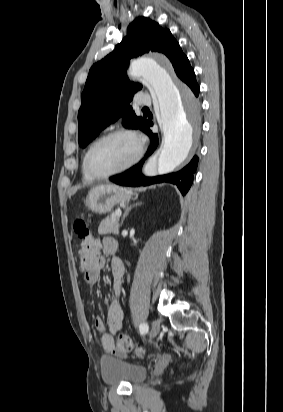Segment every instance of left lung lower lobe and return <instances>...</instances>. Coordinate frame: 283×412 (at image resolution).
<instances>
[{"label":"left lung lower lobe","mask_w":283,"mask_h":412,"mask_svg":"<svg viewBox=\"0 0 283 412\" xmlns=\"http://www.w3.org/2000/svg\"><path fill=\"white\" fill-rule=\"evenodd\" d=\"M182 81L190 87L195 96H198L199 86L196 82L194 71H191ZM152 125V122L148 121L147 126L143 129V131L151 138L150 148L143 160L124 173L112 176L109 179L110 181L123 186H148L156 183H172L178 187L182 195H185L192 185L193 173L197 168L198 158L196 156L187 166L175 173L156 177H144L141 173V168L145 159L154 152L158 145V136L153 134L149 129Z\"/></svg>","instance_id":"obj_1"}]
</instances>
